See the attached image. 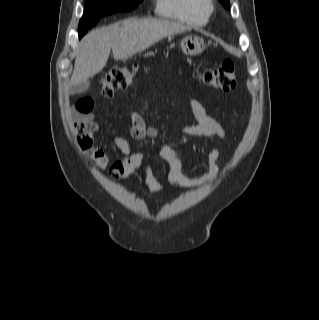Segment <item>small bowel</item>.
<instances>
[{
	"mask_svg": "<svg viewBox=\"0 0 319 320\" xmlns=\"http://www.w3.org/2000/svg\"><path fill=\"white\" fill-rule=\"evenodd\" d=\"M94 103L91 98L86 97L77 103V112L73 119V129L76 134V144L95 163L98 171L106 169L111 163L110 154L104 147L94 145V133L98 130V123L94 121ZM189 109L196 120V124L187 126L183 134L188 137L199 138H224L225 127L218 121L210 118L204 106L195 99L189 101ZM131 121L130 134L134 139H142L146 136H153L156 130L149 127L146 121L136 111L129 112ZM111 151L121 152L125 157L117 162L122 168L114 177H121L132 180L139 184L143 182L149 193L161 195L167 191L166 187L158 180L152 168L146 162V154L141 150H132L129 141L123 136H115L111 142ZM159 157L169 166V180L177 188L187 189L214 182L219 173L218 162L221 158L219 150H211L207 155V172L199 177H189L183 172V163L176 150L168 144H161L158 148ZM116 163V162H115ZM138 168L144 169V176L136 174ZM143 197L148 193L142 192Z\"/></svg>",
	"mask_w": 319,
	"mask_h": 320,
	"instance_id": "c3829d8e",
	"label": "small bowel"
}]
</instances>
